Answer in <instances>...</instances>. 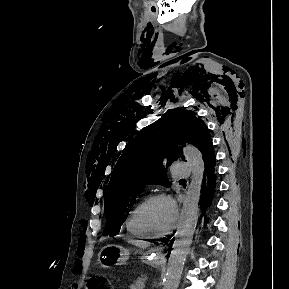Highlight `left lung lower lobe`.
<instances>
[{
    "label": "left lung lower lobe",
    "mask_w": 289,
    "mask_h": 289,
    "mask_svg": "<svg viewBox=\"0 0 289 289\" xmlns=\"http://www.w3.org/2000/svg\"><path fill=\"white\" fill-rule=\"evenodd\" d=\"M216 158L214 149L211 150L204 159V175L202 181V191L200 195L199 204L201 206L202 214H205L206 210L210 207L216 188ZM167 241V240H165ZM174 239L171 240V244Z\"/></svg>",
    "instance_id": "obj_1"
}]
</instances>
